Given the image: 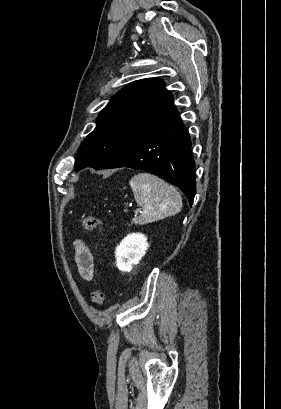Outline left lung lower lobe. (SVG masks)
<instances>
[{
    "label": "left lung lower lobe",
    "mask_w": 281,
    "mask_h": 409,
    "mask_svg": "<svg viewBox=\"0 0 281 409\" xmlns=\"http://www.w3.org/2000/svg\"><path fill=\"white\" fill-rule=\"evenodd\" d=\"M191 140L179 113L108 161L101 169L129 167L151 172L178 186L190 206L196 192Z\"/></svg>",
    "instance_id": "0a47b994"
}]
</instances>
